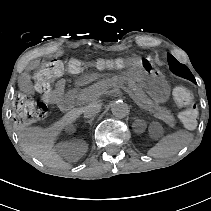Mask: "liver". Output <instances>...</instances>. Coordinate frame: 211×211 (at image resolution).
Segmentation results:
<instances>
[{
	"mask_svg": "<svg viewBox=\"0 0 211 211\" xmlns=\"http://www.w3.org/2000/svg\"><path fill=\"white\" fill-rule=\"evenodd\" d=\"M74 120L75 117L70 116L68 113L47 129L40 127L27 128L22 124H15L14 128L17 130L21 146L28 155L41 160L49 167L68 169L69 165L52 150V146L59 131Z\"/></svg>",
	"mask_w": 211,
	"mask_h": 211,
	"instance_id": "obj_1",
	"label": "liver"
}]
</instances>
